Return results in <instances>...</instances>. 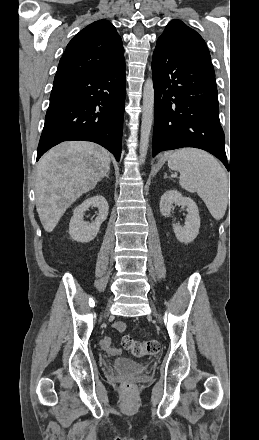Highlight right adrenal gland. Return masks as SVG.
I'll use <instances>...</instances> for the list:
<instances>
[{
  "mask_svg": "<svg viewBox=\"0 0 259 440\" xmlns=\"http://www.w3.org/2000/svg\"><path fill=\"white\" fill-rule=\"evenodd\" d=\"M109 174H110V171H108V172L105 174V177L108 178V179H109Z\"/></svg>",
  "mask_w": 259,
  "mask_h": 440,
  "instance_id": "right-adrenal-gland-1",
  "label": "right adrenal gland"
}]
</instances>
